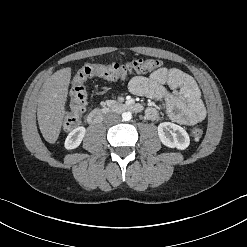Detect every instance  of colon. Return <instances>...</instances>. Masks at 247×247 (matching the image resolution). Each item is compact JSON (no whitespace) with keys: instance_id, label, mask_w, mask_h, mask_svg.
Listing matches in <instances>:
<instances>
[{"instance_id":"1","label":"colon","mask_w":247,"mask_h":247,"mask_svg":"<svg viewBox=\"0 0 247 247\" xmlns=\"http://www.w3.org/2000/svg\"><path fill=\"white\" fill-rule=\"evenodd\" d=\"M162 63L158 59H134L124 64L112 63L109 65L85 64L75 74L71 87L70 112L64 123L65 130L77 126L87 105V89L85 82L95 76L107 79L124 78L130 74H144L160 69ZM190 135L194 141L203 136V129L199 126L192 128Z\"/></svg>"}]
</instances>
